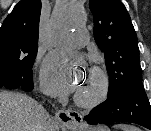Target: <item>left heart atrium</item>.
Listing matches in <instances>:
<instances>
[{
	"label": "left heart atrium",
	"mask_w": 151,
	"mask_h": 131,
	"mask_svg": "<svg viewBox=\"0 0 151 131\" xmlns=\"http://www.w3.org/2000/svg\"><path fill=\"white\" fill-rule=\"evenodd\" d=\"M84 75V63L79 57L54 54L42 68V87L51 96H64L79 89Z\"/></svg>",
	"instance_id": "39dd6f15"
}]
</instances>
